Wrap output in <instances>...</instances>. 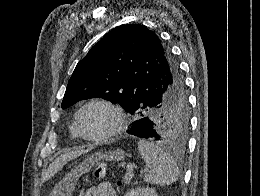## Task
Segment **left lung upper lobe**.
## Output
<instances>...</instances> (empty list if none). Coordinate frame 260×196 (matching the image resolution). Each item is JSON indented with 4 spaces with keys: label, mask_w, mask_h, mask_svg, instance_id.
<instances>
[{
    "label": "left lung upper lobe",
    "mask_w": 260,
    "mask_h": 196,
    "mask_svg": "<svg viewBox=\"0 0 260 196\" xmlns=\"http://www.w3.org/2000/svg\"><path fill=\"white\" fill-rule=\"evenodd\" d=\"M93 97L151 120L160 143L186 147L190 116L183 79L170 49L145 26H118L96 43L77 64L62 108Z\"/></svg>",
    "instance_id": "left-lung-upper-lobe-1"
}]
</instances>
